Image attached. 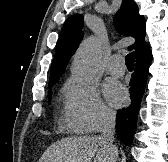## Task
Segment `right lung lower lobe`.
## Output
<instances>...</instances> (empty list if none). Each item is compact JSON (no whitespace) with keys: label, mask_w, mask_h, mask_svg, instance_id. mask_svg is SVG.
<instances>
[{"label":"right lung lower lobe","mask_w":168,"mask_h":162,"mask_svg":"<svg viewBox=\"0 0 168 162\" xmlns=\"http://www.w3.org/2000/svg\"><path fill=\"white\" fill-rule=\"evenodd\" d=\"M152 60V53H146L136 58V65L130 82L131 104L121 109L116 117V131L119 140L131 145L136 131L141 99L146 87L148 68Z\"/></svg>","instance_id":"right-lung-lower-lobe-1"}]
</instances>
